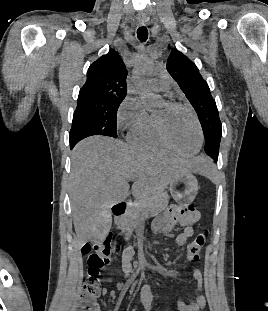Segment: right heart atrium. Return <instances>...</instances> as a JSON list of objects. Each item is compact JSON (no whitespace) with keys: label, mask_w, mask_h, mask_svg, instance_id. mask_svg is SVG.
<instances>
[{"label":"right heart atrium","mask_w":268,"mask_h":311,"mask_svg":"<svg viewBox=\"0 0 268 311\" xmlns=\"http://www.w3.org/2000/svg\"><path fill=\"white\" fill-rule=\"evenodd\" d=\"M147 116L138 97L128 96L124 99L117 113V126L122 129H132Z\"/></svg>","instance_id":"d8ad5b80"}]
</instances>
